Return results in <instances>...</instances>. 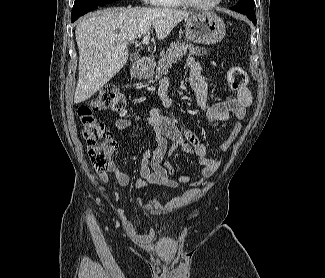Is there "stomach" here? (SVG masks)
Returning <instances> with one entry per match:
<instances>
[{
  "label": "stomach",
  "instance_id": "stomach-1",
  "mask_svg": "<svg viewBox=\"0 0 325 278\" xmlns=\"http://www.w3.org/2000/svg\"><path fill=\"white\" fill-rule=\"evenodd\" d=\"M186 37L198 44L210 45L220 42L226 33L223 20L212 12H199L186 20ZM134 75L140 79L150 78L153 71L136 69Z\"/></svg>",
  "mask_w": 325,
  "mask_h": 278
}]
</instances>
